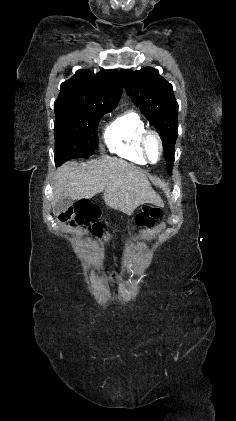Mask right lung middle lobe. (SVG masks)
I'll return each mask as SVG.
<instances>
[{"mask_svg":"<svg viewBox=\"0 0 236 421\" xmlns=\"http://www.w3.org/2000/svg\"><path fill=\"white\" fill-rule=\"evenodd\" d=\"M113 109L94 104L55 101L56 166L69 159L91 156L98 148V123L104 114Z\"/></svg>","mask_w":236,"mask_h":421,"instance_id":"right-lung-middle-lobe-1","label":"right lung middle lobe"}]
</instances>
